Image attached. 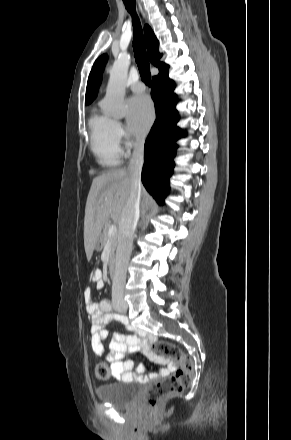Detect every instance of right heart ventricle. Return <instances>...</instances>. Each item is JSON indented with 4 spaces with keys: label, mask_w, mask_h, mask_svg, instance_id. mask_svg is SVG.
<instances>
[{
    "label": "right heart ventricle",
    "mask_w": 291,
    "mask_h": 440,
    "mask_svg": "<svg viewBox=\"0 0 291 440\" xmlns=\"http://www.w3.org/2000/svg\"><path fill=\"white\" fill-rule=\"evenodd\" d=\"M115 120L94 111L89 119L91 150L103 167H115L121 163L122 151L115 138Z\"/></svg>",
    "instance_id": "obj_1"
}]
</instances>
